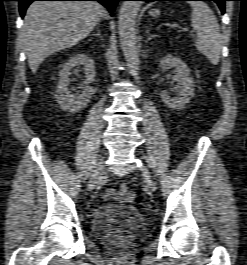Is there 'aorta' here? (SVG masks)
Instances as JSON below:
<instances>
[{
	"instance_id": "obj_1",
	"label": "aorta",
	"mask_w": 247,
	"mask_h": 265,
	"mask_svg": "<svg viewBox=\"0 0 247 265\" xmlns=\"http://www.w3.org/2000/svg\"><path fill=\"white\" fill-rule=\"evenodd\" d=\"M141 7L140 1H124L119 11L118 30L122 51L130 74L138 83L139 55L135 31L136 17Z\"/></svg>"
}]
</instances>
